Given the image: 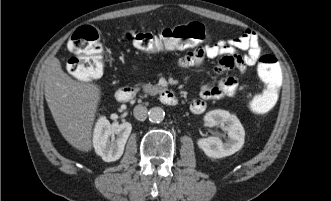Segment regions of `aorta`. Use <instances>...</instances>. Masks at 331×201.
<instances>
[{
	"label": "aorta",
	"mask_w": 331,
	"mask_h": 201,
	"mask_svg": "<svg viewBox=\"0 0 331 201\" xmlns=\"http://www.w3.org/2000/svg\"><path fill=\"white\" fill-rule=\"evenodd\" d=\"M149 120L153 123H160L165 117V112L161 107H153L148 112Z\"/></svg>",
	"instance_id": "762f6f07"
}]
</instances>
